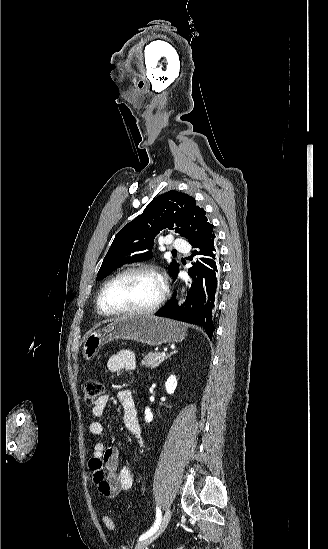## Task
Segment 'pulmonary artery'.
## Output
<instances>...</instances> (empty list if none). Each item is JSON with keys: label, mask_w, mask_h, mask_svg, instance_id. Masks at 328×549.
<instances>
[{"label": "pulmonary artery", "mask_w": 328, "mask_h": 549, "mask_svg": "<svg viewBox=\"0 0 328 549\" xmlns=\"http://www.w3.org/2000/svg\"><path fill=\"white\" fill-rule=\"evenodd\" d=\"M184 243L182 241H171L168 245H167V248L171 251V252H182L184 250Z\"/></svg>", "instance_id": "pulmonary-artery-1"}]
</instances>
